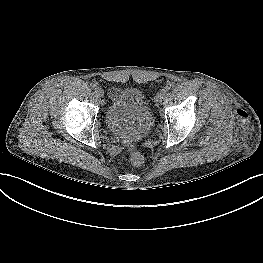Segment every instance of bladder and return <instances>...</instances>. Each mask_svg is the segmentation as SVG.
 I'll return each mask as SVG.
<instances>
[{
    "instance_id": "obj_1",
    "label": "bladder",
    "mask_w": 263,
    "mask_h": 263,
    "mask_svg": "<svg viewBox=\"0 0 263 263\" xmlns=\"http://www.w3.org/2000/svg\"><path fill=\"white\" fill-rule=\"evenodd\" d=\"M103 122L117 137H146L151 133L153 114L142 91L128 88L106 105Z\"/></svg>"
}]
</instances>
